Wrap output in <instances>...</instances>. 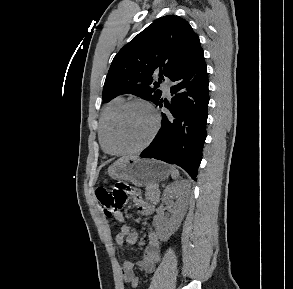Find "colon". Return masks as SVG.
Listing matches in <instances>:
<instances>
[{
	"label": "colon",
	"mask_w": 293,
	"mask_h": 289,
	"mask_svg": "<svg viewBox=\"0 0 293 289\" xmlns=\"http://www.w3.org/2000/svg\"><path fill=\"white\" fill-rule=\"evenodd\" d=\"M136 193L132 185L126 183H117L112 190L100 187L96 190V198L100 208L105 216H113L115 212L122 209L129 196ZM136 206L139 207V201L136 200Z\"/></svg>",
	"instance_id": "obj_1"
}]
</instances>
